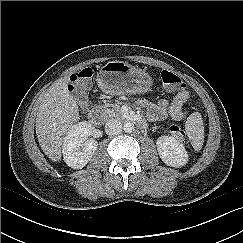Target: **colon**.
I'll return each mask as SVG.
<instances>
[{"label":"colon","mask_w":243,"mask_h":243,"mask_svg":"<svg viewBox=\"0 0 243 243\" xmlns=\"http://www.w3.org/2000/svg\"><path fill=\"white\" fill-rule=\"evenodd\" d=\"M93 76V70L90 67H85L71 76L69 89L72 92L79 94L82 101H85L84 89L89 85ZM161 82L170 89H182L185 87L182 79L171 71L163 70L159 74ZM179 91V92H180ZM170 133L173 137L183 140L185 138L184 130L178 125L170 126Z\"/></svg>","instance_id":"5ec220e1"}]
</instances>
